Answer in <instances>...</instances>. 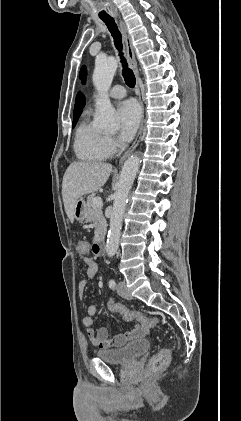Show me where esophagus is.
Masks as SVG:
<instances>
[{
    "instance_id": "1",
    "label": "esophagus",
    "mask_w": 241,
    "mask_h": 421,
    "mask_svg": "<svg viewBox=\"0 0 241 421\" xmlns=\"http://www.w3.org/2000/svg\"><path fill=\"white\" fill-rule=\"evenodd\" d=\"M120 28H121L123 38H124V42H125V46H126V53H127V59H128L129 66L132 68V70L134 71V73L136 75L137 94H138L139 102H140L141 109H142L141 123H140L138 134H137L136 139L134 140L133 144L131 145V147L120 158L119 164L121 165L128 158V156L136 149V147L139 144L140 137H141L142 130H143L144 106H143L141 93H140V79H139V75H138V69H137V62H136V58H135L134 47L132 45V40H131L130 34L128 32V29H127L125 23L122 20H120Z\"/></svg>"
}]
</instances>
